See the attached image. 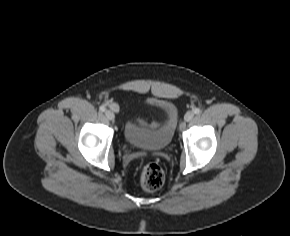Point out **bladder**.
Segmentation results:
<instances>
[{
	"label": "bladder",
	"mask_w": 290,
	"mask_h": 236,
	"mask_svg": "<svg viewBox=\"0 0 290 236\" xmlns=\"http://www.w3.org/2000/svg\"><path fill=\"white\" fill-rule=\"evenodd\" d=\"M164 107L163 123L157 128L142 126L132 120H127L122 131L125 143L143 150H165L173 140L177 123V109L171 103H164Z\"/></svg>",
	"instance_id": "bladder-1"
}]
</instances>
